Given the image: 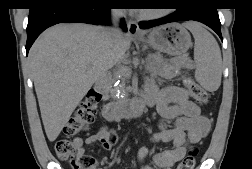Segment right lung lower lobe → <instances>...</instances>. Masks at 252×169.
<instances>
[{"mask_svg":"<svg viewBox=\"0 0 252 169\" xmlns=\"http://www.w3.org/2000/svg\"><path fill=\"white\" fill-rule=\"evenodd\" d=\"M113 0H38L30 8L26 52L48 27L58 23L109 24ZM121 27L126 29L124 19Z\"/></svg>","mask_w":252,"mask_h":169,"instance_id":"1","label":"right lung lower lobe"}]
</instances>
